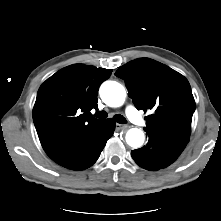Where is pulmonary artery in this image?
Returning a JSON list of instances; mask_svg holds the SVG:
<instances>
[{"label": "pulmonary artery", "mask_w": 221, "mask_h": 221, "mask_svg": "<svg viewBox=\"0 0 221 221\" xmlns=\"http://www.w3.org/2000/svg\"><path fill=\"white\" fill-rule=\"evenodd\" d=\"M126 114L128 116V118L133 122L135 123L136 125H139V126H143L145 125V120L144 118L138 113V111L135 109V107L129 105L127 108H126Z\"/></svg>", "instance_id": "1"}]
</instances>
